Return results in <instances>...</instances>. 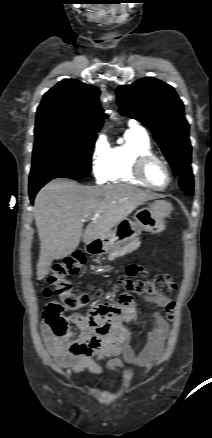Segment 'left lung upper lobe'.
Returning <instances> with one entry per match:
<instances>
[{
    "instance_id": "left-lung-upper-lobe-1",
    "label": "left lung upper lobe",
    "mask_w": 212,
    "mask_h": 438,
    "mask_svg": "<svg viewBox=\"0 0 212 438\" xmlns=\"http://www.w3.org/2000/svg\"><path fill=\"white\" fill-rule=\"evenodd\" d=\"M120 114L147 125L172 166L175 175L191 163L189 124L174 88L146 77L117 88Z\"/></svg>"
}]
</instances>
